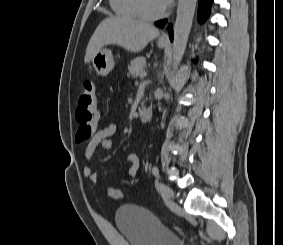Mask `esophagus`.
Returning a JSON list of instances; mask_svg holds the SVG:
<instances>
[{
  "instance_id": "1",
  "label": "esophagus",
  "mask_w": 283,
  "mask_h": 245,
  "mask_svg": "<svg viewBox=\"0 0 283 245\" xmlns=\"http://www.w3.org/2000/svg\"><path fill=\"white\" fill-rule=\"evenodd\" d=\"M160 40H161V41H169V35H168V32H167V31H165V32H163V33L161 34Z\"/></svg>"
}]
</instances>
